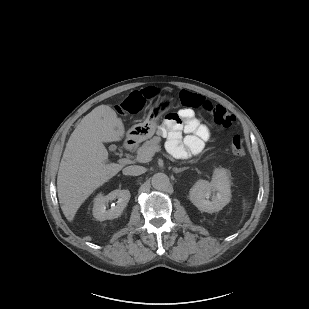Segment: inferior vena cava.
<instances>
[{"instance_id": "602c4592", "label": "inferior vena cava", "mask_w": 309, "mask_h": 309, "mask_svg": "<svg viewBox=\"0 0 309 309\" xmlns=\"http://www.w3.org/2000/svg\"><path fill=\"white\" fill-rule=\"evenodd\" d=\"M145 172V168L138 165H131L123 169L124 175L138 176Z\"/></svg>"}]
</instances>
